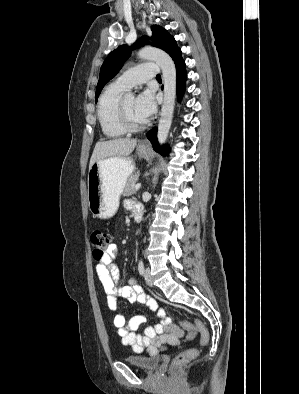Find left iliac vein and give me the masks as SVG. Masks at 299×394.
Returning <instances> with one entry per match:
<instances>
[{
  "instance_id": "obj_1",
  "label": "left iliac vein",
  "mask_w": 299,
  "mask_h": 394,
  "mask_svg": "<svg viewBox=\"0 0 299 394\" xmlns=\"http://www.w3.org/2000/svg\"><path fill=\"white\" fill-rule=\"evenodd\" d=\"M144 278H145L147 285H149V286L153 285V279H152L151 271L149 268L145 269Z\"/></svg>"
}]
</instances>
